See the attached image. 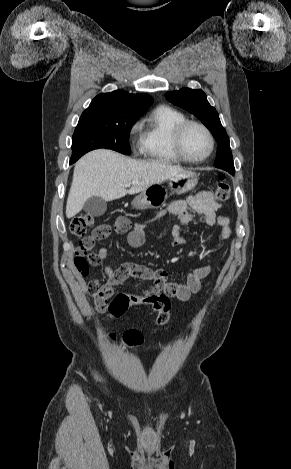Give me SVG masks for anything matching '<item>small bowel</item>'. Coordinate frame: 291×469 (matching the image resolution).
<instances>
[{
  "label": "small bowel",
  "mask_w": 291,
  "mask_h": 469,
  "mask_svg": "<svg viewBox=\"0 0 291 469\" xmlns=\"http://www.w3.org/2000/svg\"><path fill=\"white\" fill-rule=\"evenodd\" d=\"M220 207L221 204L213 199L210 192L202 191L189 196L186 200L173 201L166 210L158 214V217L169 215L177 219L178 222L172 228L174 246L186 244V239L182 235V227L191 223L195 215L201 217L205 225L209 227L218 226L221 238L226 240L231 235V229L229 218L225 215H217ZM103 226L107 229L104 238L110 234L113 228L116 232L127 235V243L131 248H140L145 243L144 224L142 222L132 226L128 218L120 216L115 220L112 227L110 225ZM108 255V250L105 248L94 249L89 255L98 259L100 264L103 265V270L108 278L105 284H100L96 279L90 281L100 284L99 291L93 297L97 310L101 312L109 311L110 304H108V300L113 297L114 287L130 278L153 280L155 287L152 291H148L143 295L128 294V299L147 298L149 293H168L170 298H176L184 302L201 290L202 281L211 273V266L205 265L189 272L185 283L169 282L167 273L163 269H151L131 262L124 263L118 268H112L105 264Z\"/></svg>",
  "instance_id": "1"
}]
</instances>
